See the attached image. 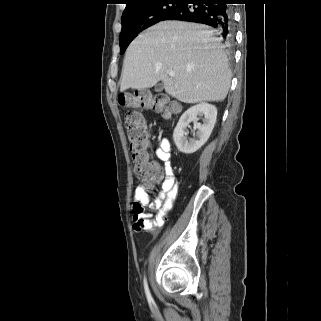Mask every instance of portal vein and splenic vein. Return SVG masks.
<instances>
[{"label":"portal vein and splenic vein","instance_id":"obj_1","mask_svg":"<svg viewBox=\"0 0 321 321\" xmlns=\"http://www.w3.org/2000/svg\"><path fill=\"white\" fill-rule=\"evenodd\" d=\"M169 76H170V77H174V76H175V73H174L173 71H170V72H169Z\"/></svg>","mask_w":321,"mask_h":321}]
</instances>
